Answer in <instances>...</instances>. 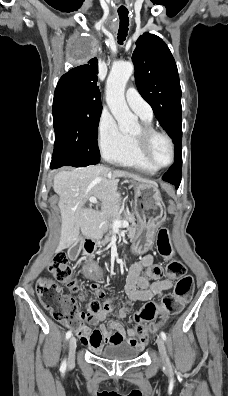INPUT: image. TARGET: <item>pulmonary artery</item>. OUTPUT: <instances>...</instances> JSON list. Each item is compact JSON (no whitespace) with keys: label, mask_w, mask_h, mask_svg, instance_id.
<instances>
[{"label":"pulmonary artery","mask_w":228,"mask_h":396,"mask_svg":"<svg viewBox=\"0 0 228 396\" xmlns=\"http://www.w3.org/2000/svg\"><path fill=\"white\" fill-rule=\"evenodd\" d=\"M126 101L129 107L144 118H152L153 111L149 103L141 96L134 87H129L125 93Z\"/></svg>","instance_id":"1"}]
</instances>
